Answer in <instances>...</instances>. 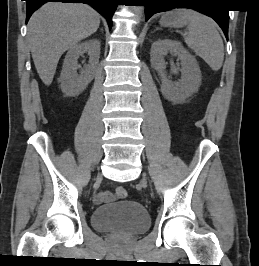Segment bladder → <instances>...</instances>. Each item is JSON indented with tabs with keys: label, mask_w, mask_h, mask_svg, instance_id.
<instances>
[{
	"label": "bladder",
	"mask_w": 259,
	"mask_h": 266,
	"mask_svg": "<svg viewBox=\"0 0 259 266\" xmlns=\"http://www.w3.org/2000/svg\"><path fill=\"white\" fill-rule=\"evenodd\" d=\"M92 224L100 231L139 234L149 228L150 215L141 203L125 200L97 207Z\"/></svg>",
	"instance_id": "bladder-1"
}]
</instances>
